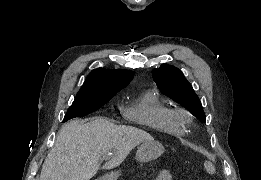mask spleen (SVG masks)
<instances>
[{
  "instance_id": "3e777b00",
  "label": "spleen",
  "mask_w": 261,
  "mask_h": 180,
  "mask_svg": "<svg viewBox=\"0 0 261 180\" xmlns=\"http://www.w3.org/2000/svg\"><path fill=\"white\" fill-rule=\"evenodd\" d=\"M207 172H209V174H214V168H212V166H208Z\"/></svg>"
}]
</instances>
